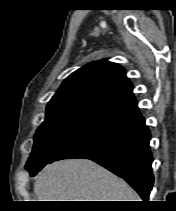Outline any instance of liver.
Wrapping results in <instances>:
<instances>
[{
  "mask_svg": "<svg viewBox=\"0 0 176 211\" xmlns=\"http://www.w3.org/2000/svg\"><path fill=\"white\" fill-rule=\"evenodd\" d=\"M38 201H140L122 179L86 159H70L47 165L37 176Z\"/></svg>",
  "mask_w": 176,
  "mask_h": 211,
  "instance_id": "1",
  "label": "liver"
}]
</instances>
